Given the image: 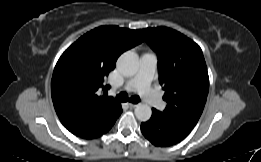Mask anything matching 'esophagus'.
Wrapping results in <instances>:
<instances>
[{
	"instance_id": "esophagus-1",
	"label": "esophagus",
	"mask_w": 261,
	"mask_h": 162,
	"mask_svg": "<svg viewBox=\"0 0 261 162\" xmlns=\"http://www.w3.org/2000/svg\"><path fill=\"white\" fill-rule=\"evenodd\" d=\"M128 105H129L131 108H135L138 104L128 103Z\"/></svg>"
}]
</instances>
